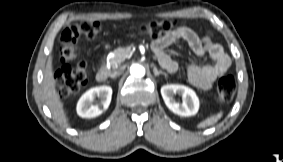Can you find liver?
<instances>
[{"instance_id": "1", "label": "liver", "mask_w": 283, "mask_h": 162, "mask_svg": "<svg viewBox=\"0 0 283 162\" xmlns=\"http://www.w3.org/2000/svg\"><path fill=\"white\" fill-rule=\"evenodd\" d=\"M43 95L45 102L50 109L54 119L62 126L68 127L69 121L66 116L63 103L56 91V80L54 79L52 69V57L50 56L46 63L43 78Z\"/></svg>"}]
</instances>
